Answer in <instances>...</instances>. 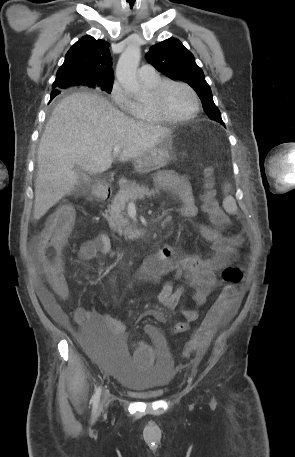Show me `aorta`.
<instances>
[{
	"label": "aorta",
	"instance_id": "obj_1",
	"mask_svg": "<svg viewBox=\"0 0 295 457\" xmlns=\"http://www.w3.org/2000/svg\"><path fill=\"white\" fill-rule=\"evenodd\" d=\"M141 58L140 46L130 44L120 55L116 66V78L129 94L139 97L142 94L137 78V67Z\"/></svg>",
	"mask_w": 295,
	"mask_h": 457
}]
</instances>
